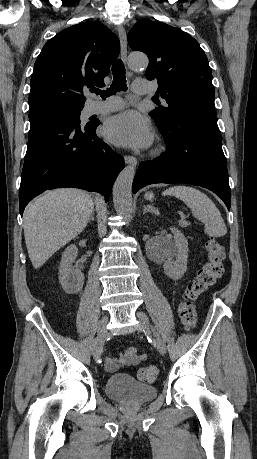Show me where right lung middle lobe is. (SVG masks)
<instances>
[{"instance_id": "right-lung-middle-lobe-1", "label": "right lung middle lobe", "mask_w": 257, "mask_h": 459, "mask_svg": "<svg viewBox=\"0 0 257 459\" xmlns=\"http://www.w3.org/2000/svg\"><path fill=\"white\" fill-rule=\"evenodd\" d=\"M83 107H61L45 109L29 113V118L33 117H51L62 121H74L80 123V114Z\"/></svg>"}]
</instances>
